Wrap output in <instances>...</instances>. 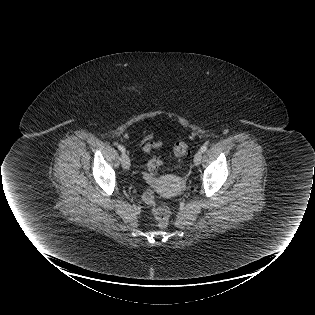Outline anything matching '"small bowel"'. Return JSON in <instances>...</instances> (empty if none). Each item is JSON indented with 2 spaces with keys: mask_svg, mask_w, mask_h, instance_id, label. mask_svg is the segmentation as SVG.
Masks as SVG:
<instances>
[{
  "mask_svg": "<svg viewBox=\"0 0 315 315\" xmlns=\"http://www.w3.org/2000/svg\"><path fill=\"white\" fill-rule=\"evenodd\" d=\"M154 137L155 133L150 132L139 140V145L142 147L144 153H150L152 150L161 148L163 146V141L155 140Z\"/></svg>",
  "mask_w": 315,
  "mask_h": 315,
  "instance_id": "obj_1",
  "label": "small bowel"
}]
</instances>
